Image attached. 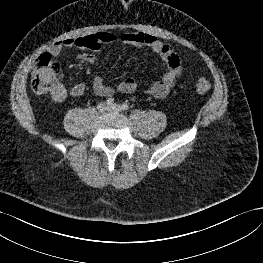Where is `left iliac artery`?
Segmentation results:
<instances>
[{"instance_id": "44dca946", "label": "left iliac artery", "mask_w": 263, "mask_h": 263, "mask_svg": "<svg viewBox=\"0 0 263 263\" xmlns=\"http://www.w3.org/2000/svg\"><path fill=\"white\" fill-rule=\"evenodd\" d=\"M128 108H129V106H128L127 103H123V104H122V109H123V110H128Z\"/></svg>"}]
</instances>
